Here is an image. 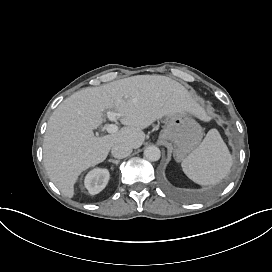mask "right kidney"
<instances>
[{"instance_id": "ca27d5eb", "label": "right kidney", "mask_w": 272, "mask_h": 272, "mask_svg": "<svg viewBox=\"0 0 272 272\" xmlns=\"http://www.w3.org/2000/svg\"><path fill=\"white\" fill-rule=\"evenodd\" d=\"M109 178L110 174L107 169L95 168L86 175L84 186L91 195H95L106 187Z\"/></svg>"}]
</instances>
